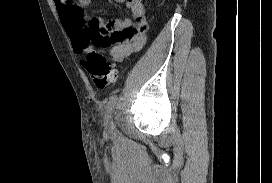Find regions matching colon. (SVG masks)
<instances>
[{"label":"colon","mask_w":272,"mask_h":183,"mask_svg":"<svg viewBox=\"0 0 272 183\" xmlns=\"http://www.w3.org/2000/svg\"><path fill=\"white\" fill-rule=\"evenodd\" d=\"M83 66L98 89L112 85L118 76V70L101 53L90 51L82 61Z\"/></svg>","instance_id":"5ec220e1"}]
</instances>
